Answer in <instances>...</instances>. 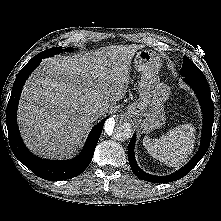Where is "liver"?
Returning a JSON list of instances; mask_svg holds the SVG:
<instances>
[{
	"mask_svg": "<svg viewBox=\"0 0 221 221\" xmlns=\"http://www.w3.org/2000/svg\"><path fill=\"white\" fill-rule=\"evenodd\" d=\"M142 45H111L74 57L44 60L26 82L18 124L27 147L67 158L93 122L127 92L131 61ZM94 110L101 111L98 118Z\"/></svg>",
	"mask_w": 221,
	"mask_h": 221,
	"instance_id": "6515ba94",
	"label": "liver"
}]
</instances>
